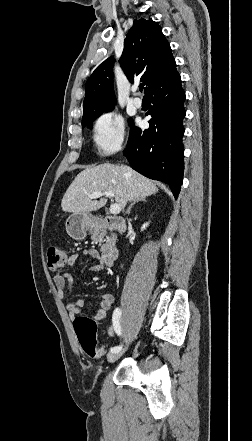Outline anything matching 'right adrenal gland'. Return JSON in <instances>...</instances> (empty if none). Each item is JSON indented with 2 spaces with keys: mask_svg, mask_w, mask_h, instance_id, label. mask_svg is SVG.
I'll use <instances>...</instances> for the list:
<instances>
[{
  "mask_svg": "<svg viewBox=\"0 0 252 441\" xmlns=\"http://www.w3.org/2000/svg\"><path fill=\"white\" fill-rule=\"evenodd\" d=\"M139 201H145V199L143 198V199L133 200L132 203L130 204V206L128 207V210H127V214H128V215L130 214V211H131L132 207H133L136 203H138Z\"/></svg>",
  "mask_w": 252,
  "mask_h": 441,
  "instance_id": "right-adrenal-gland-1",
  "label": "right adrenal gland"
}]
</instances>
